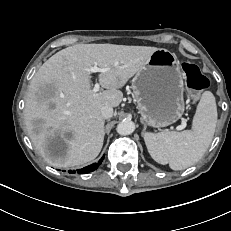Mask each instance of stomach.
Returning a JSON list of instances; mask_svg holds the SVG:
<instances>
[{
  "mask_svg": "<svg viewBox=\"0 0 231 231\" xmlns=\"http://www.w3.org/2000/svg\"><path fill=\"white\" fill-rule=\"evenodd\" d=\"M137 108L147 125L161 128L180 119L185 111L183 78L174 53L156 50L132 79Z\"/></svg>",
  "mask_w": 231,
  "mask_h": 231,
  "instance_id": "stomach-1",
  "label": "stomach"
}]
</instances>
